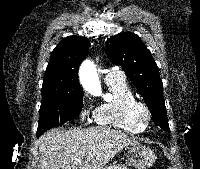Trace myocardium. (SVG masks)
Masks as SVG:
<instances>
[{
  "instance_id": "f54148a6",
  "label": "myocardium",
  "mask_w": 200,
  "mask_h": 169,
  "mask_svg": "<svg viewBox=\"0 0 200 169\" xmlns=\"http://www.w3.org/2000/svg\"><path fill=\"white\" fill-rule=\"evenodd\" d=\"M131 116L138 125L145 128L150 122L151 111L145 103L141 101H135L131 105Z\"/></svg>"
}]
</instances>
